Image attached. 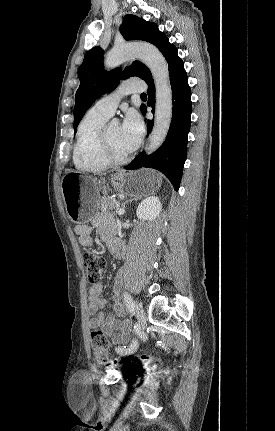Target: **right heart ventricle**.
<instances>
[{"label":"right heart ventricle","mask_w":275,"mask_h":431,"mask_svg":"<svg viewBox=\"0 0 275 431\" xmlns=\"http://www.w3.org/2000/svg\"><path fill=\"white\" fill-rule=\"evenodd\" d=\"M108 118L91 108L81 119L73 150V162L78 170L97 173L109 167L100 152V134Z\"/></svg>","instance_id":"obj_1"}]
</instances>
